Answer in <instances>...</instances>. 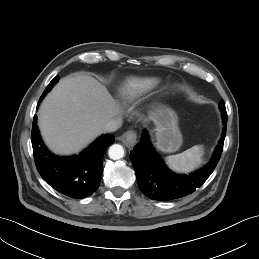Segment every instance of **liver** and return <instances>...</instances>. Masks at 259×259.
<instances>
[{"label": "liver", "mask_w": 259, "mask_h": 259, "mask_svg": "<svg viewBox=\"0 0 259 259\" xmlns=\"http://www.w3.org/2000/svg\"><path fill=\"white\" fill-rule=\"evenodd\" d=\"M121 108L107 88L89 75L62 78L39 110V127L56 154L79 152L103 133L111 119H121Z\"/></svg>", "instance_id": "obj_1"}]
</instances>
